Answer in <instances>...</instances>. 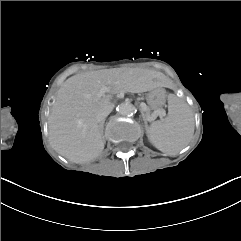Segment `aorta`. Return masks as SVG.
<instances>
[{"label":"aorta","mask_w":241,"mask_h":241,"mask_svg":"<svg viewBox=\"0 0 241 241\" xmlns=\"http://www.w3.org/2000/svg\"><path fill=\"white\" fill-rule=\"evenodd\" d=\"M118 110H119V113L123 116H131L135 111V107L133 104L129 102H124L119 105Z\"/></svg>","instance_id":"1"}]
</instances>
